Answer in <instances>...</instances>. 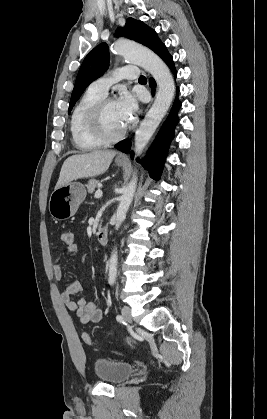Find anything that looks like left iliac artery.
Returning a JSON list of instances; mask_svg holds the SVG:
<instances>
[{"mask_svg":"<svg viewBox=\"0 0 267 419\" xmlns=\"http://www.w3.org/2000/svg\"><path fill=\"white\" fill-rule=\"evenodd\" d=\"M116 320L120 323H125L124 318L121 315H117Z\"/></svg>","mask_w":267,"mask_h":419,"instance_id":"obj_1","label":"left iliac artery"}]
</instances>
